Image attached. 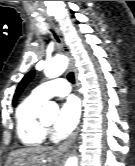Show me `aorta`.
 <instances>
[{
    "mask_svg": "<svg viewBox=\"0 0 135 166\" xmlns=\"http://www.w3.org/2000/svg\"><path fill=\"white\" fill-rule=\"evenodd\" d=\"M68 59L65 56H56L46 63L44 73L48 78H56L60 76L67 68ZM58 107L54 102H47L41 109V113H56ZM64 166H78V158L76 156L69 157Z\"/></svg>",
    "mask_w": 135,
    "mask_h": 166,
    "instance_id": "762f6f07",
    "label": "aorta"
}]
</instances>
